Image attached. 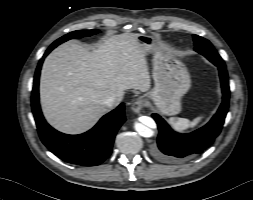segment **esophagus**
<instances>
[{
    "label": "esophagus",
    "mask_w": 253,
    "mask_h": 200,
    "mask_svg": "<svg viewBox=\"0 0 253 200\" xmlns=\"http://www.w3.org/2000/svg\"><path fill=\"white\" fill-rule=\"evenodd\" d=\"M144 105H145L144 100L139 98V99H137L136 101L133 102V104L131 106V110L134 113H140L141 110L143 109Z\"/></svg>",
    "instance_id": "34e87169"
}]
</instances>
